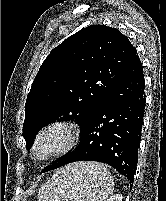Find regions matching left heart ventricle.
<instances>
[{"mask_svg":"<svg viewBox=\"0 0 166 201\" xmlns=\"http://www.w3.org/2000/svg\"><path fill=\"white\" fill-rule=\"evenodd\" d=\"M65 135L60 130H55L49 133L42 142L41 148L43 151H52L63 145Z\"/></svg>","mask_w":166,"mask_h":201,"instance_id":"obj_1","label":"left heart ventricle"}]
</instances>
